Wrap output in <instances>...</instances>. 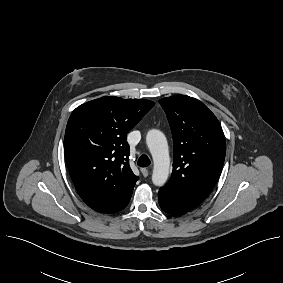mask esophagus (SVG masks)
Instances as JSON below:
<instances>
[{
	"label": "esophagus",
	"mask_w": 283,
	"mask_h": 283,
	"mask_svg": "<svg viewBox=\"0 0 283 283\" xmlns=\"http://www.w3.org/2000/svg\"><path fill=\"white\" fill-rule=\"evenodd\" d=\"M140 171L144 177L149 175V170L147 168H141Z\"/></svg>",
	"instance_id": "obj_1"
}]
</instances>
